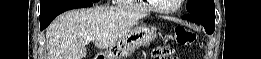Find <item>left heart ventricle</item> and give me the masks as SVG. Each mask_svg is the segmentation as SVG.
Instances as JSON below:
<instances>
[{
    "instance_id": "1",
    "label": "left heart ventricle",
    "mask_w": 261,
    "mask_h": 59,
    "mask_svg": "<svg viewBox=\"0 0 261 59\" xmlns=\"http://www.w3.org/2000/svg\"><path fill=\"white\" fill-rule=\"evenodd\" d=\"M155 4L160 8L171 9L178 4V0H158L154 1Z\"/></svg>"
}]
</instances>
